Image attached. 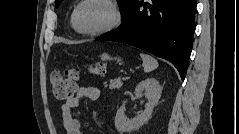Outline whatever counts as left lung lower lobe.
<instances>
[{
  "label": "left lung lower lobe",
  "mask_w": 239,
  "mask_h": 134,
  "mask_svg": "<svg viewBox=\"0 0 239 134\" xmlns=\"http://www.w3.org/2000/svg\"><path fill=\"white\" fill-rule=\"evenodd\" d=\"M196 0H135L116 30L98 41L127 43L170 61L184 80L195 29Z\"/></svg>",
  "instance_id": "obj_1"
}]
</instances>
